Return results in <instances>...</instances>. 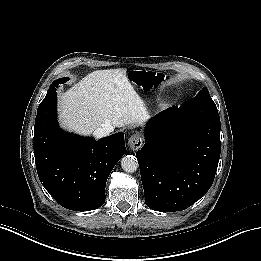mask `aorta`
I'll use <instances>...</instances> for the list:
<instances>
[{
  "mask_svg": "<svg viewBox=\"0 0 261 261\" xmlns=\"http://www.w3.org/2000/svg\"><path fill=\"white\" fill-rule=\"evenodd\" d=\"M138 160L133 155H126L121 159V168L127 173H134L138 169Z\"/></svg>",
  "mask_w": 261,
  "mask_h": 261,
  "instance_id": "1",
  "label": "aorta"
}]
</instances>
